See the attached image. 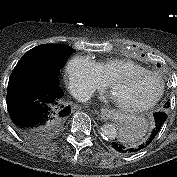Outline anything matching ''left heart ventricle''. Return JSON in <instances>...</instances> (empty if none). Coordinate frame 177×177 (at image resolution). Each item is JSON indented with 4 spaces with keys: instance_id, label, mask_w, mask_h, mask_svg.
Instances as JSON below:
<instances>
[{
    "instance_id": "left-heart-ventricle-1",
    "label": "left heart ventricle",
    "mask_w": 177,
    "mask_h": 177,
    "mask_svg": "<svg viewBox=\"0 0 177 177\" xmlns=\"http://www.w3.org/2000/svg\"><path fill=\"white\" fill-rule=\"evenodd\" d=\"M159 87L157 78L144 75L120 82L112 95L124 105H140L151 100L158 93Z\"/></svg>"
}]
</instances>
